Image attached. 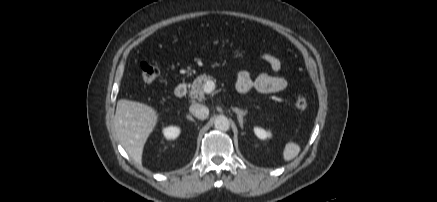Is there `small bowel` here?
Segmentation results:
<instances>
[{"label": "small bowel", "mask_w": 437, "mask_h": 202, "mask_svg": "<svg viewBox=\"0 0 437 202\" xmlns=\"http://www.w3.org/2000/svg\"><path fill=\"white\" fill-rule=\"evenodd\" d=\"M260 56L269 65L270 72H262L252 77L248 71H241L236 82V89L239 92L245 93L255 88L262 93H275L287 87L286 79L279 75L280 60L268 52H262Z\"/></svg>", "instance_id": "1"}]
</instances>
